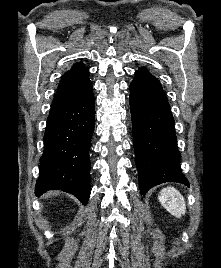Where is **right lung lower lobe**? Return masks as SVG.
I'll return each instance as SVG.
<instances>
[{
    "label": "right lung lower lobe",
    "instance_id": "98d812e1",
    "mask_svg": "<svg viewBox=\"0 0 221 268\" xmlns=\"http://www.w3.org/2000/svg\"><path fill=\"white\" fill-rule=\"evenodd\" d=\"M94 103L90 91L75 101L51 106L35 186L37 196L48 190H62L88 203Z\"/></svg>",
    "mask_w": 221,
    "mask_h": 268
}]
</instances>
